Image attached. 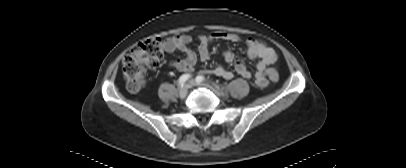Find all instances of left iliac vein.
<instances>
[{
  "label": "left iliac vein",
  "instance_id": "4c4485c4",
  "mask_svg": "<svg viewBox=\"0 0 406 168\" xmlns=\"http://www.w3.org/2000/svg\"><path fill=\"white\" fill-rule=\"evenodd\" d=\"M190 84L193 85V86H205V84H203V83H197L195 80H191V81H190Z\"/></svg>",
  "mask_w": 406,
  "mask_h": 168
}]
</instances>
